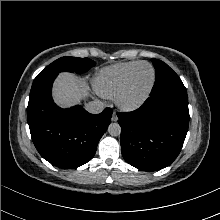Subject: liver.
<instances>
[{"label":"liver","instance_id":"obj_1","mask_svg":"<svg viewBox=\"0 0 220 220\" xmlns=\"http://www.w3.org/2000/svg\"><path fill=\"white\" fill-rule=\"evenodd\" d=\"M88 94L85 79L78 78L75 74L60 73L54 82L53 99L63 108L73 106L84 99Z\"/></svg>","mask_w":220,"mask_h":220}]
</instances>
